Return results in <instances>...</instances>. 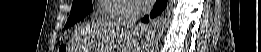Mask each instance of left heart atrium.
Wrapping results in <instances>:
<instances>
[{
	"instance_id": "obj_1",
	"label": "left heart atrium",
	"mask_w": 261,
	"mask_h": 52,
	"mask_svg": "<svg viewBox=\"0 0 261 52\" xmlns=\"http://www.w3.org/2000/svg\"><path fill=\"white\" fill-rule=\"evenodd\" d=\"M134 2L142 9H148L152 6L151 0H134Z\"/></svg>"
}]
</instances>
